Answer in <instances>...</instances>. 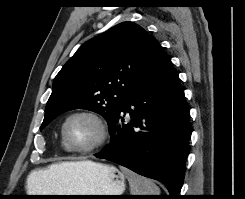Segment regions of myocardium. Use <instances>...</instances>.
<instances>
[{
	"label": "myocardium",
	"mask_w": 245,
	"mask_h": 199,
	"mask_svg": "<svg viewBox=\"0 0 245 199\" xmlns=\"http://www.w3.org/2000/svg\"><path fill=\"white\" fill-rule=\"evenodd\" d=\"M75 117H87L91 119L99 129V136L95 143L87 147H76L74 146L67 135V126L69 122ZM61 136L65 145L71 152L78 154H91L101 149L110 138V130L106 120L97 112L87 109H81L71 112L64 120L61 127Z\"/></svg>",
	"instance_id": "f54148a6"
}]
</instances>
